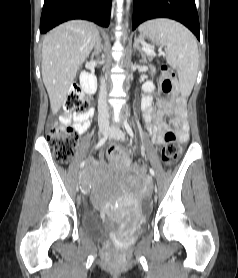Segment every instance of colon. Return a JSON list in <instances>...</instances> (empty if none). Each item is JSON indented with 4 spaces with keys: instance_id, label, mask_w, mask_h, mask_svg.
Here are the masks:
<instances>
[{
    "instance_id": "1",
    "label": "colon",
    "mask_w": 238,
    "mask_h": 278,
    "mask_svg": "<svg viewBox=\"0 0 238 278\" xmlns=\"http://www.w3.org/2000/svg\"><path fill=\"white\" fill-rule=\"evenodd\" d=\"M163 79L161 89L165 96H170L174 88V72L167 66H162ZM66 113L83 114L90 110L89 100L83 93L80 86L75 85L71 88L63 104ZM47 139L53 148L55 159L61 163L70 161L74 154V148L78 140V131L75 127H57L53 126L47 133ZM182 153V147L178 142L176 135L168 131L165 135V145L161 152L163 163L170 164L177 160ZM108 157L117 164H121L127 158L122 150L113 146L108 150Z\"/></svg>"
}]
</instances>
